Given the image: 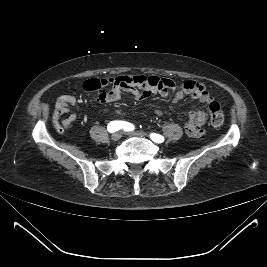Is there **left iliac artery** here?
<instances>
[{"instance_id":"44dca946","label":"left iliac artery","mask_w":267,"mask_h":267,"mask_svg":"<svg viewBox=\"0 0 267 267\" xmlns=\"http://www.w3.org/2000/svg\"><path fill=\"white\" fill-rule=\"evenodd\" d=\"M150 137L153 141L157 143H162L164 141V137L156 133L150 134Z\"/></svg>"}]
</instances>
